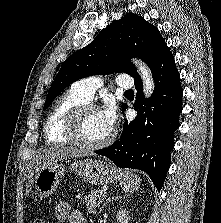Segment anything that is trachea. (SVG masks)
Here are the masks:
<instances>
[{"instance_id": "1", "label": "trachea", "mask_w": 221, "mask_h": 223, "mask_svg": "<svg viewBox=\"0 0 221 223\" xmlns=\"http://www.w3.org/2000/svg\"><path fill=\"white\" fill-rule=\"evenodd\" d=\"M125 94H134V91L133 90H127V91H125Z\"/></svg>"}]
</instances>
